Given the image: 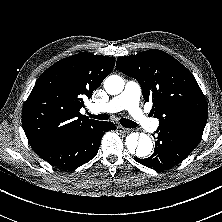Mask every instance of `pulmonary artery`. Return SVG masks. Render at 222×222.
I'll return each mask as SVG.
<instances>
[{"label": "pulmonary artery", "mask_w": 222, "mask_h": 222, "mask_svg": "<svg viewBox=\"0 0 222 222\" xmlns=\"http://www.w3.org/2000/svg\"><path fill=\"white\" fill-rule=\"evenodd\" d=\"M140 95L139 84L129 81L121 94L106 103L93 104L90 109L94 113H113L126 109L138 126L145 130L154 131L157 128V120L141 110L139 107Z\"/></svg>", "instance_id": "1"}]
</instances>
